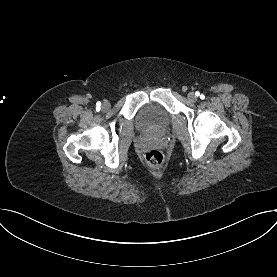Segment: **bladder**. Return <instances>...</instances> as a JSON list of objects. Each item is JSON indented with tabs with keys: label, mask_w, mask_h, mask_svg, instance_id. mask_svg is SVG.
I'll use <instances>...</instances> for the list:
<instances>
[{
	"label": "bladder",
	"mask_w": 277,
	"mask_h": 277,
	"mask_svg": "<svg viewBox=\"0 0 277 277\" xmlns=\"http://www.w3.org/2000/svg\"><path fill=\"white\" fill-rule=\"evenodd\" d=\"M138 125L144 131H162L169 125V115L159 106L147 105L138 114Z\"/></svg>",
	"instance_id": "bladder-1"
}]
</instances>
